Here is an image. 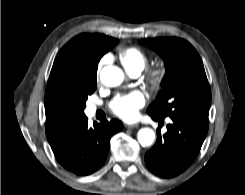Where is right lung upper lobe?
<instances>
[{
  "mask_svg": "<svg viewBox=\"0 0 245 195\" xmlns=\"http://www.w3.org/2000/svg\"><path fill=\"white\" fill-rule=\"evenodd\" d=\"M117 39L103 34H80L57 54L45 92L46 136L50 145L58 143L86 117L71 98L67 87L68 70L77 60L96 61Z\"/></svg>",
  "mask_w": 245,
  "mask_h": 195,
  "instance_id": "obj_1",
  "label": "right lung upper lobe"
}]
</instances>
